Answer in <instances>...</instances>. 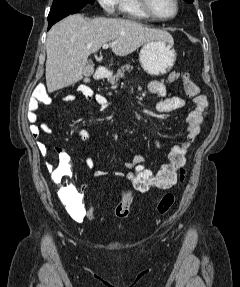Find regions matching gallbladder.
<instances>
[{"mask_svg":"<svg viewBox=\"0 0 240 287\" xmlns=\"http://www.w3.org/2000/svg\"><path fill=\"white\" fill-rule=\"evenodd\" d=\"M93 72H94V65L92 63L86 65L84 70V76L89 77L93 74Z\"/></svg>","mask_w":240,"mask_h":287,"instance_id":"1","label":"gallbladder"}]
</instances>
